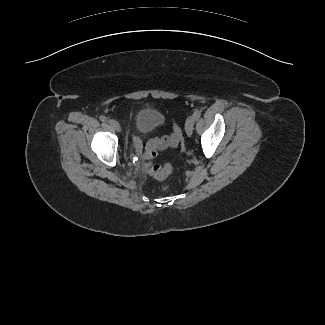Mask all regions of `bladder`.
<instances>
[{"label":"bladder","mask_w":325,"mask_h":325,"mask_svg":"<svg viewBox=\"0 0 325 325\" xmlns=\"http://www.w3.org/2000/svg\"><path fill=\"white\" fill-rule=\"evenodd\" d=\"M164 122V114L153 107H142L134 114V126L138 133L147 134Z\"/></svg>","instance_id":"31cf9c89"}]
</instances>
